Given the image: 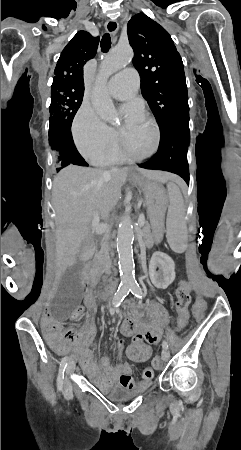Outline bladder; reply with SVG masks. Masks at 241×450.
<instances>
[{
  "label": "bladder",
  "instance_id": "31cf9c89",
  "mask_svg": "<svg viewBox=\"0 0 241 450\" xmlns=\"http://www.w3.org/2000/svg\"><path fill=\"white\" fill-rule=\"evenodd\" d=\"M108 394L109 397L114 401H125L134 397L136 395V392L126 388L122 384H118L112 390H110Z\"/></svg>",
  "mask_w": 241,
  "mask_h": 450
}]
</instances>
